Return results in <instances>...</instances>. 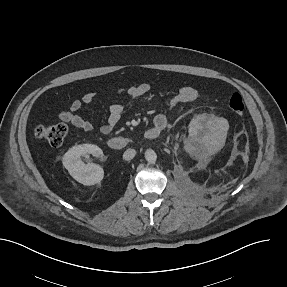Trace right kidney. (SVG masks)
<instances>
[{"instance_id":"obj_1","label":"right kidney","mask_w":287,"mask_h":287,"mask_svg":"<svg viewBox=\"0 0 287 287\" xmlns=\"http://www.w3.org/2000/svg\"><path fill=\"white\" fill-rule=\"evenodd\" d=\"M92 154L99 157L102 150L92 144H82L70 148L63 156V165L69 174L79 183L90 186L98 184L104 177L103 169L94 163L85 164L81 156Z\"/></svg>"}]
</instances>
